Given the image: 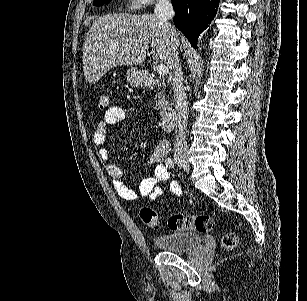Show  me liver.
<instances>
[{"mask_svg":"<svg viewBox=\"0 0 307 301\" xmlns=\"http://www.w3.org/2000/svg\"><path fill=\"white\" fill-rule=\"evenodd\" d=\"M151 44L152 58L173 68L174 48L166 26L154 14L112 12L95 18L83 46V70L87 82H98L117 64L138 66Z\"/></svg>","mask_w":307,"mask_h":301,"instance_id":"liver-1","label":"liver"}]
</instances>
